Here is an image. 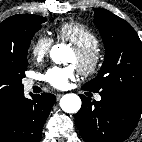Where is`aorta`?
Masks as SVG:
<instances>
[{"instance_id": "762f6f07", "label": "aorta", "mask_w": 142, "mask_h": 142, "mask_svg": "<svg viewBox=\"0 0 142 142\" xmlns=\"http://www.w3.org/2000/svg\"><path fill=\"white\" fill-rule=\"evenodd\" d=\"M70 48L64 44H58L52 47L50 51L51 59L57 63L65 62V56ZM60 106L66 113H76L81 108V99L74 93L65 94L60 100Z\"/></svg>"}]
</instances>
